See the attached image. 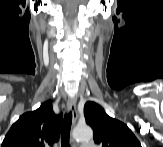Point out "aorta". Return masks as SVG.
<instances>
[{"mask_svg": "<svg viewBox=\"0 0 163 147\" xmlns=\"http://www.w3.org/2000/svg\"><path fill=\"white\" fill-rule=\"evenodd\" d=\"M73 137L78 141H87L92 139L93 131L91 127L86 124L78 125L73 131Z\"/></svg>", "mask_w": 163, "mask_h": 147, "instance_id": "aorta-1", "label": "aorta"}]
</instances>
